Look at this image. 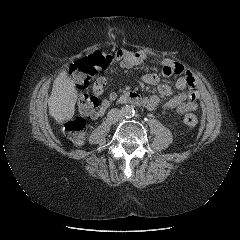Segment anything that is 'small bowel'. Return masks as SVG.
<instances>
[{
    "label": "small bowel",
    "instance_id": "1",
    "mask_svg": "<svg viewBox=\"0 0 240 240\" xmlns=\"http://www.w3.org/2000/svg\"><path fill=\"white\" fill-rule=\"evenodd\" d=\"M147 53L144 51H130L120 50L115 54L114 60L118 65L125 69H131L143 65L147 58ZM161 75L163 77H170L172 75L178 76L175 83V89L181 91L178 95H173L175 89L160 82L157 75L150 74L144 77V80L156 86L157 91L163 96H172L167 102L164 103L163 109L173 110L179 114L196 113L200 108L199 93L197 82L194 75L187 70L182 64L164 59L160 62ZM107 79L104 76L98 77L93 84V92L96 95H102L105 91ZM117 94L110 93L108 98L101 101L98 111L92 115V118H98L103 115L111 103L116 100ZM143 106L147 110H154L160 103L158 95L144 97Z\"/></svg>",
    "mask_w": 240,
    "mask_h": 240
}]
</instances>
